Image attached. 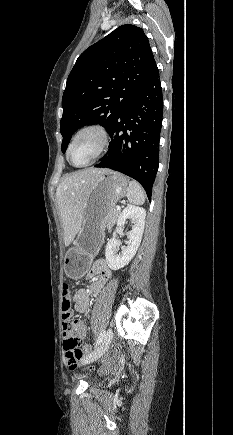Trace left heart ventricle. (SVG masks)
<instances>
[{
	"label": "left heart ventricle",
	"instance_id": "1",
	"mask_svg": "<svg viewBox=\"0 0 233 435\" xmlns=\"http://www.w3.org/2000/svg\"><path fill=\"white\" fill-rule=\"evenodd\" d=\"M98 139L92 134L79 138L70 150V161L75 165H82L91 160L98 148Z\"/></svg>",
	"mask_w": 233,
	"mask_h": 435
}]
</instances>
